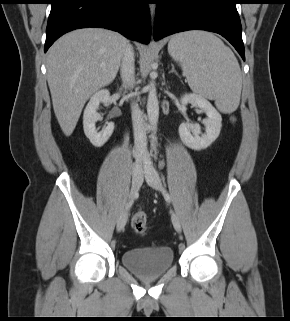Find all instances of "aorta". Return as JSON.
Listing matches in <instances>:
<instances>
[{
	"label": "aorta",
	"mask_w": 290,
	"mask_h": 321,
	"mask_svg": "<svg viewBox=\"0 0 290 321\" xmlns=\"http://www.w3.org/2000/svg\"><path fill=\"white\" fill-rule=\"evenodd\" d=\"M157 74L155 72L150 73L151 81L149 82L148 88V99H147V115L150 127L152 131L157 128L158 118H159V103L156 92V83L154 81ZM153 141H156L155 135H152Z\"/></svg>",
	"instance_id": "762f6f07"
}]
</instances>
